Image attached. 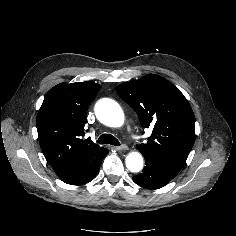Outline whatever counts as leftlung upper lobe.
<instances>
[{
  "mask_svg": "<svg viewBox=\"0 0 236 236\" xmlns=\"http://www.w3.org/2000/svg\"><path fill=\"white\" fill-rule=\"evenodd\" d=\"M116 91L136 111L142 127L153 129L137 149L179 172L195 142V117L184 95L155 74L120 84Z\"/></svg>",
  "mask_w": 236,
  "mask_h": 236,
  "instance_id": "left-lung-upper-lobe-1",
  "label": "left lung upper lobe"
}]
</instances>
